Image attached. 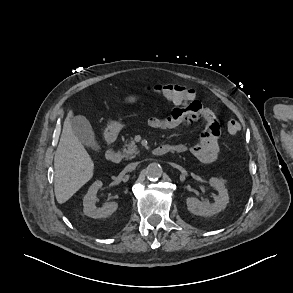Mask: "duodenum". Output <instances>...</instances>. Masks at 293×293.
I'll return each instance as SVG.
<instances>
[{"instance_id":"1","label":"duodenum","mask_w":293,"mask_h":293,"mask_svg":"<svg viewBox=\"0 0 293 293\" xmlns=\"http://www.w3.org/2000/svg\"><path fill=\"white\" fill-rule=\"evenodd\" d=\"M107 142L110 146V149L107 154L108 160L111 163H115V164L120 163L122 160V155L120 153L116 152L113 148L114 142H115L114 138L111 136H107ZM176 150H177V148L173 145H161V146L155 147L152 150V153L156 156H160V155H163L166 153L175 152Z\"/></svg>"}]
</instances>
